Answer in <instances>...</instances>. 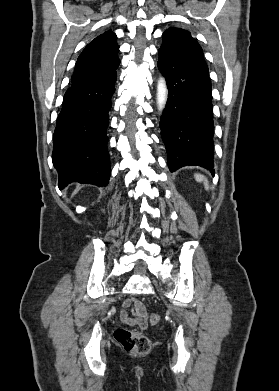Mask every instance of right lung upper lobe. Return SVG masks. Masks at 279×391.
<instances>
[{"mask_svg": "<svg viewBox=\"0 0 279 391\" xmlns=\"http://www.w3.org/2000/svg\"><path fill=\"white\" fill-rule=\"evenodd\" d=\"M115 39V33L106 31L85 47L76 62L71 86L95 82L116 72L120 60Z\"/></svg>", "mask_w": 279, "mask_h": 391, "instance_id": "right-lung-upper-lobe-1", "label": "right lung upper lobe"}]
</instances>
